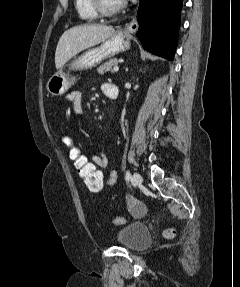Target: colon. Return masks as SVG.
<instances>
[{
  "mask_svg": "<svg viewBox=\"0 0 240 287\" xmlns=\"http://www.w3.org/2000/svg\"><path fill=\"white\" fill-rule=\"evenodd\" d=\"M59 141L63 145L68 159L74 167L76 174L83 181L86 187L92 192L100 191L104 186V175L96 164L85 155L76 145L74 139L67 134L59 136ZM138 216L143 215L142 212L137 213ZM114 222L118 225L125 222V218L117 216ZM173 230H168L166 235L172 236Z\"/></svg>",
  "mask_w": 240,
  "mask_h": 287,
  "instance_id": "obj_1",
  "label": "colon"
}]
</instances>
